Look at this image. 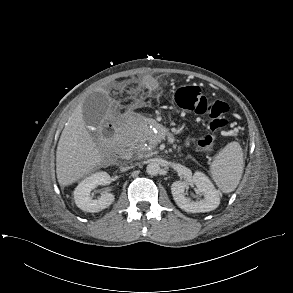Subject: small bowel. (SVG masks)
Instances as JSON below:
<instances>
[{"instance_id": "1", "label": "small bowel", "mask_w": 293, "mask_h": 293, "mask_svg": "<svg viewBox=\"0 0 293 293\" xmlns=\"http://www.w3.org/2000/svg\"><path fill=\"white\" fill-rule=\"evenodd\" d=\"M141 84L143 88L149 92L154 91L158 86L157 80L151 75L142 76Z\"/></svg>"}]
</instances>
